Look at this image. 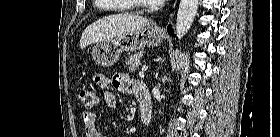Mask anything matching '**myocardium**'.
Returning a JSON list of instances; mask_svg holds the SVG:
<instances>
[{
  "mask_svg": "<svg viewBox=\"0 0 280 137\" xmlns=\"http://www.w3.org/2000/svg\"><path fill=\"white\" fill-rule=\"evenodd\" d=\"M134 5L141 10H145V11H153L157 5H152V4H146L144 1L142 0H131Z\"/></svg>",
  "mask_w": 280,
  "mask_h": 137,
  "instance_id": "f54148a6",
  "label": "myocardium"
}]
</instances>
